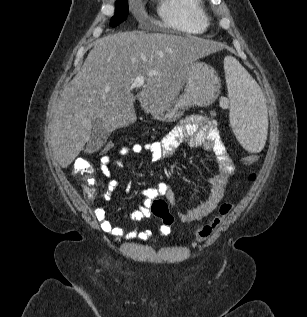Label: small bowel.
I'll return each instance as SVG.
<instances>
[{
  "mask_svg": "<svg viewBox=\"0 0 307 317\" xmlns=\"http://www.w3.org/2000/svg\"><path fill=\"white\" fill-rule=\"evenodd\" d=\"M217 121L214 119V113L206 115H190L181 120L177 126L167 133L161 140L149 142L147 144L134 143L123 148L114 159L112 156L102 155L100 157L99 168L105 177H111L110 165L115 162L119 167L123 166L121 157L130 154L148 153L152 163H159L171 159L174 151L181 145L187 144L192 147L203 146L206 150L216 156L218 172L209 179L210 191L206 200L194 209L187 210L178 214L181 223H190L202 220L213 212L223 198L225 189L235 171V166L227 153L225 144L217 128ZM117 180H110L106 191L103 193V199L110 201L114 191L118 188ZM130 185L127 191H130ZM142 202L140 207L129 213L128 216L133 220H142L151 215L150 207L154 199L159 196H166L168 201L176 204V197L170 187L163 182L157 183L152 187L145 188L141 192ZM94 216L99 222L103 231L113 235L121 236L125 239L147 240L152 237L150 230L134 229L125 233L123 228L112 224L107 216V212L99 204L93 208ZM170 233V227L161 225L159 227L160 236H167Z\"/></svg>",
  "mask_w": 307,
  "mask_h": 317,
  "instance_id": "1",
  "label": "small bowel"
}]
</instances>
